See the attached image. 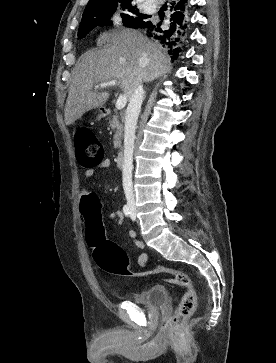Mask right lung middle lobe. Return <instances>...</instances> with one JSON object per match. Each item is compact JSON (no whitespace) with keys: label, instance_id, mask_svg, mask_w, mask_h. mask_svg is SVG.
<instances>
[{"label":"right lung middle lobe","instance_id":"right-lung-middle-lobe-1","mask_svg":"<svg viewBox=\"0 0 276 363\" xmlns=\"http://www.w3.org/2000/svg\"><path fill=\"white\" fill-rule=\"evenodd\" d=\"M118 6H121L124 10L127 9L129 12V15L121 14L125 26L139 28L143 24L144 15L140 14L139 10L131 2L113 1L96 4L85 8L78 30V37H84L97 26L112 25L110 18Z\"/></svg>","mask_w":276,"mask_h":363}]
</instances>
